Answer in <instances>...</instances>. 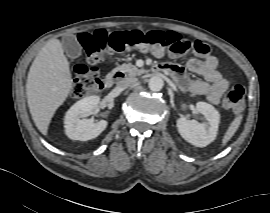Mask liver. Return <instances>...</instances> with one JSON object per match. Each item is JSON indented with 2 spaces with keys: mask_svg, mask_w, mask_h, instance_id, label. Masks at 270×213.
Returning a JSON list of instances; mask_svg holds the SVG:
<instances>
[{
  "mask_svg": "<svg viewBox=\"0 0 270 213\" xmlns=\"http://www.w3.org/2000/svg\"><path fill=\"white\" fill-rule=\"evenodd\" d=\"M71 89V72L63 46L58 39H51L34 59L26 83L28 107L43 135L47 134L52 117Z\"/></svg>",
  "mask_w": 270,
  "mask_h": 213,
  "instance_id": "liver-1",
  "label": "liver"
}]
</instances>
